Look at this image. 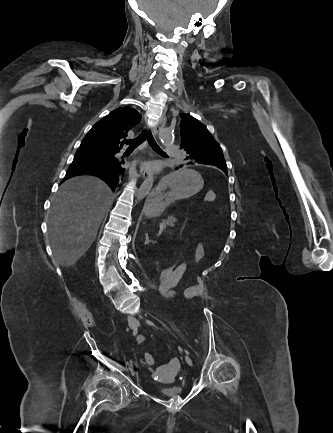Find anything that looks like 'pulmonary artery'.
<instances>
[{
	"instance_id": "1",
	"label": "pulmonary artery",
	"mask_w": 333,
	"mask_h": 433,
	"mask_svg": "<svg viewBox=\"0 0 333 433\" xmlns=\"http://www.w3.org/2000/svg\"><path fill=\"white\" fill-rule=\"evenodd\" d=\"M165 151H166L167 154H169V155H174L175 152H176V148H175L174 145H170V144H168V145L165 146Z\"/></svg>"
}]
</instances>
